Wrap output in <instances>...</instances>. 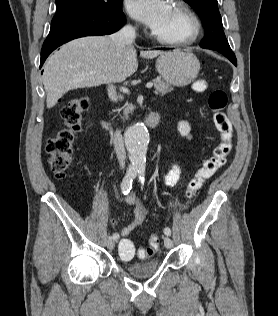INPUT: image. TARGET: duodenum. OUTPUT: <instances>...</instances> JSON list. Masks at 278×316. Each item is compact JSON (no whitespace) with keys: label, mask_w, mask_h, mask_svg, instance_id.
I'll list each match as a JSON object with an SVG mask.
<instances>
[{"label":"duodenum","mask_w":278,"mask_h":316,"mask_svg":"<svg viewBox=\"0 0 278 316\" xmlns=\"http://www.w3.org/2000/svg\"><path fill=\"white\" fill-rule=\"evenodd\" d=\"M101 125L104 129L106 130H111L112 127L110 125V123L105 120L104 118H101L100 120ZM146 125L150 128H155L159 122H160V114L158 112H152L146 119Z\"/></svg>","instance_id":"obj_1"}]
</instances>
